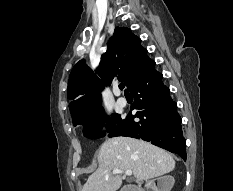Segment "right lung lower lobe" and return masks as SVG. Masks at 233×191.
Returning <instances> with one entry per match:
<instances>
[{
    "label": "right lung lower lobe",
    "mask_w": 233,
    "mask_h": 191,
    "mask_svg": "<svg viewBox=\"0 0 233 191\" xmlns=\"http://www.w3.org/2000/svg\"><path fill=\"white\" fill-rule=\"evenodd\" d=\"M155 62L147 59L142 69L128 86L134 96L128 114L112 129L109 136H129L176 153L186 160V141L182 134L181 118L176 103L169 97V88L162 82V74L154 69ZM137 117L140 120L134 121Z\"/></svg>",
    "instance_id": "1"
}]
</instances>
